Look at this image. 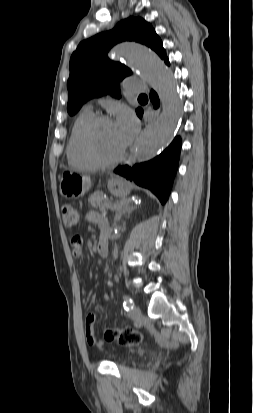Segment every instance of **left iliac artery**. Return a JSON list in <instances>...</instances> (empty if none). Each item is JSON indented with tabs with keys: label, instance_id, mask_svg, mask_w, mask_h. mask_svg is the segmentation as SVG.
Instances as JSON below:
<instances>
[{
	"label": "left iliac artery",
	"instance_id": "obj_1",
	"mask_svg": "<svg viewBox=\"0 0 253 413\" xmlns=\"http://www.w3.org/2000/svg\"><path fill=\"white\" fill-rule=\"evenodd\" d=\"M133 305H134L133 300L130 297L125 296L124 302H123L124 309L128 311L129 309H132Z\"/></svg>",
	"mask_w": 253,
	"mask_h": 413
}]
</instances>
